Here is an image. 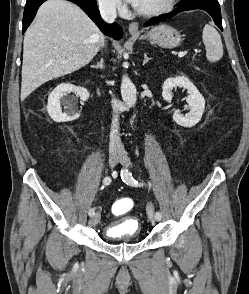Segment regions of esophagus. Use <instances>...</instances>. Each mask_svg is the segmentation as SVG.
<instances>
[{
	"label": "esophagus",
	"instance_id": "34e87169",
	"mask_svg": "<svg viewBox=\"0 0 249 294\" xmlns=\"http://www.w3.org/2000/svg\"><path fill=\"white\" fill-rule=\"evenodd\" d=\"M129 32L131 34H137L139 33V24L137 22H132L129 25Z\"/></svg>",
	"mask_w": 249,
	"mask_h": 294
}]
</instances>
